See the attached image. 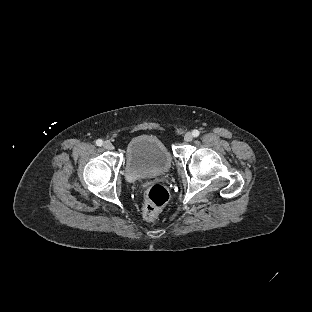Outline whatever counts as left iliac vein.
<instances>
[{
	"label": "left iliac vein",
	"instance_id": "4c4485c4",
	"mask_svg": "<svg viewBox=\"0 0 312 312\" xmlns=\"http://www.w3.org/2000/svg\"><path fill=\"white\" fill-rule=\"evenodd\" d=\"M184 140H185L186 142L192 141V140H193V135H192V133L187 132V133L184 135Z\"/></svg>",
	"mask_w": 312,
	"mask_h": 312
}]
</instances>
